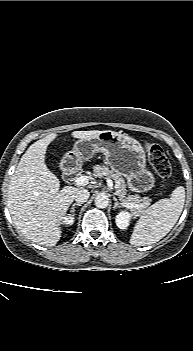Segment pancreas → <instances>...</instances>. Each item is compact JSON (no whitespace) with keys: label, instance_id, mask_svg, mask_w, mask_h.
Listing matches in <instances>:
<instances>
[{"label":"pancreas","instance_id":"obj_1","mask_svg":"<svg viewBox=\"0 0 193 351\" xmlns=\"http://www.w3.org/2000/svg\"><path fill=\"white\" fill-rule=\"evenodd\" d=\"M95 177H109L115 182V194L119 200L124 204H134L137 207L134 208L136 214H141L143 210L150 204V199L144 197L141 198L139 195H127L125 179L120 173L110 170L107 166L96 165L94 166Z\"/></svg>","mask_w":193,"mask_h":351}]
</instances>
